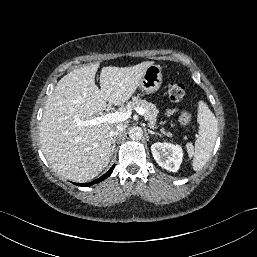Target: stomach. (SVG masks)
<instances>
[{
    "label": "stomach",
    "instance_id": "1",
    "mask_svg": "<svg viewBox=\"0 0 257 257\" xmlns=\"http://www.w3.org/2000/svg\"><path fill=\"white\" fill-rule=\"evenodd\" d=\"M162 83V68L160 65H150L144 72L139 88L147 94L157 91Z\"/></svg>",
    "mask_w": 257,
    "mask_h": 257
}]
</instances>
